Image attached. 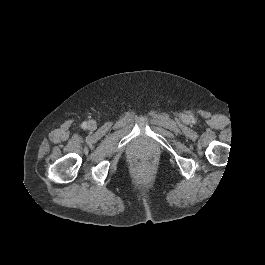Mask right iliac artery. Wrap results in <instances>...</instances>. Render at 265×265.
<instances>
[{
	"label": "right iliac artery",
	"instance_id": "1",
	"mask_svg": "<svg viewBox=\"0 0 265 265\" xmlns=\"http://www.w3.org/2000/svg\"><path fill=\"white\" fill-rule=\"evenodd\" d=\"M87 127V122L82 123V128L85 129Z\"/></svg>",
	"mask_w": 265,
	"mask_h": 265
}]
</instances>
